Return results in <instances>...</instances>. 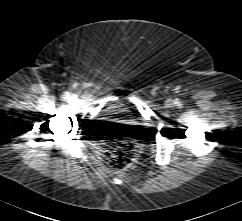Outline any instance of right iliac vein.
<instances>
[{"instance_id": "1", "label": "right iliac vein", "mask_w": 242, "mask_h": 221, "mask_svg": "<svg viewBox=\"0 0 242 221\" xmlns=\"http://www.w3.org/2000/svg\"><path fill=\"white\" fill-rule=\"evenodd\" d=\"M69 98H70V100H74V99H75V97H74V96H70Z\"/></svg>"}]
</instances>
